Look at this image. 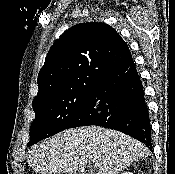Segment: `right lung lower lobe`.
I'll return each instance as SVG.
<instances>
[{"mask_svg":"<svg viewBox=\"0 0 175 174\" xmlns=\"http://www.w3.org/2000/svg\"><path fill=\"white\" fill-rule=\"evenodd\" d=\"M86 125L121 131L152 151L149 113L133 60L107 73L93 87L82 110L68 128Z\"/></svg>","mask_w":175,"mask_h":174,"instance_id":"right-lung-lower-lobe-1","label":"right lung lower lobe"}]
</instances>
